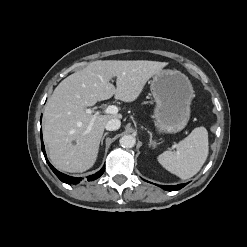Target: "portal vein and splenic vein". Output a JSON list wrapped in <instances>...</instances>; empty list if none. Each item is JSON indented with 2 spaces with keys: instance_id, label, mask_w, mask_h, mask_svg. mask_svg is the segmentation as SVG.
I'll list each match as a JSON object with an SVG mask.
<instances>
[{
  "instance_id": "obj_1",
  "label": "portal vein and splenic vein",
  "mask_w": 247,
  "mask_h": 247,
  "mask_svg": "<svg viewBox=\"0 0 247 247\" xmlns=\"http://www.w3.org/2000/svg\"><path fill=\"white\" fill-rule=\"evenodd\" d=\"M119 111L118 107L115 106V105H109L105 110H104V113L105 114H117ZM86 112L89 113V114H94V117L91 121V124H93L95 118L97 115H99L101 112L100 111H94V110H91L89 108H86Z\"/></svg>"
}]
</instances>
